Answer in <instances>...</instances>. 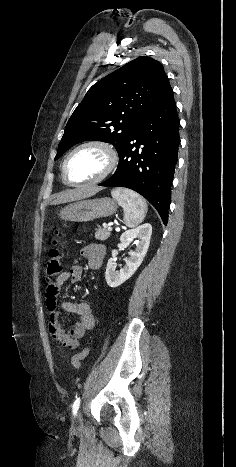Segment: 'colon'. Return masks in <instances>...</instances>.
I'll return each instance as SVG.
<instances>
[{
  "label": "colon",
  "instance_id": "1",
  "mask_svg": "<svg viewBox=\"0 0 236 467\" xmlns=\"http://www.w3.org/2000/svg\"><path fill=\"white\" fill-rule=\"evenodd\" d=\"M63 227L64 225L54 229V235L56 238L52 241V247L50 248L48 252V258L45 263V274H46L47 280H52L58 277V275L61 273V270H62V261L64 258V253L59 246L60 243L58 241V237L61 235V231ZM88 353H89L88 349L85 348L80 353L74 355L71 360V364L73 368L79 369L81 367V363L83 359L86 358Z\"/></svg>",
  "mask_w": 236,
  "mask_h": 467
}]
</instances>
